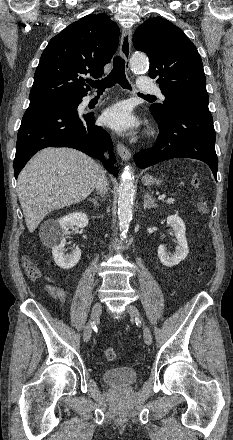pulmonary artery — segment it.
Here are the masks:
<instances>
[{
	"label": "pulmonary artery",
	"mask_w": 233,
	"mask_h": 440,
	"mask_svg": "<svg viewBox=\"0 0 233 440\" xmlns=\"http://www.w3.org/2000/svg\"><path fill=\"white\" fill-rule=\"evenodd\" d=\"M137 87L140 91L147 93H157L162 99H164L163 94L160 92L159 88L153 84L152 82L147 80L146 76H140L138 79ZM94 98V96H90L89 99Z\"/></svg>",
	"instance_id": "pulmonary-artery-1"
}]
</instances>
